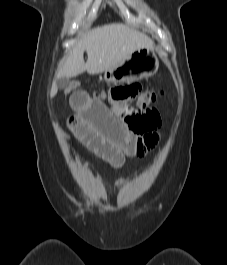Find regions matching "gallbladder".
Wrapping results in <instances>:
<instances>
[{
	"label": "gallbladder",
	"instance_id": "1",
	"mask_svg": "<svg viewBox=\"0 0 227 265\" xmlns=\"http://www.w3.org/2000/svg\"><path fill=\"white\" fill-rule=\"evenodd\" d=\"M69 78L61 77L56 80L59 89H65L68 86Z\"/></svg>",
	"mask_w": 227,
	"mask_h": 265
}]
</instances>
